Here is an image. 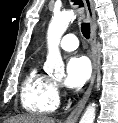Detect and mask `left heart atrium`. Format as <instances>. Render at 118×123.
I'll use <instances>...</instances> for the list:
<instances>
[{
	"instance_id": "obj_1",
	"label": "left heart atrium",
	"mask_w": 118,
	"mask_h": 123,
	"mask_svg": "<svg viewBox=\"0 0 118 123\" xmlns=\"http://www.w3.org/2000/svg\"><path fill=\"white\" fill-rule=\"evenodd\" d=\"M91 65L87 57L72 56L66 64L64 84L70 89L81 88L90 78Z\"/></svg>"
}]
</instances>
